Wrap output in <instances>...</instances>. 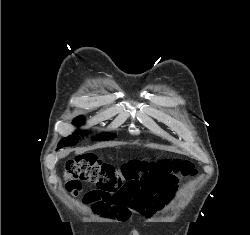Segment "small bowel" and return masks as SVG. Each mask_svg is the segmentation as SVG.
<instances>
[{
	"label": "small bowel",
	"instance_id": "small-bowel-1",
	"mask_svg": "<svg viewBox=\"0 0 250 235\" xmlns=\"http://www.w3.org/2000/svg\"><path fill=\"white\" fill-rule=\"evenodd\" d=\"M175 195L174 186L157 188L152 191L140 190L133 198V205L147 218H152L166 207Z\"/></svg>",
	"mask_w": 250,
	"mask_h": 235
}]
</instances>
